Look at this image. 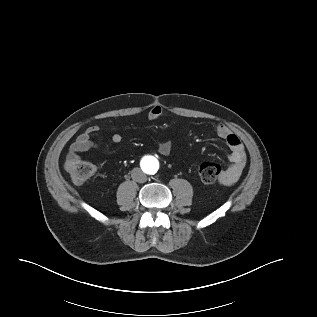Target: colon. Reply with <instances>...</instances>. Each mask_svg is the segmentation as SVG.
Here are the masks:
<instances>
[{"mask_svg": "<svg viewBox=\"0 0 317 317\" xmlns=\"http://www.w3.org/2000/svg\"><path fill=\"white\" fill-rule=\"evenodd\" d=\"M67 169L72 181L76 184L86 182L95 172L94 165L83 160L68 161ZM197 173L203 183L211 184L219 177L220 167L213 162H203L197 167Z\"/></svg>", "mask_w": 317, "mask_h": 317, "instance_id": "colon-1", "label": "colon"}]
</instances>
